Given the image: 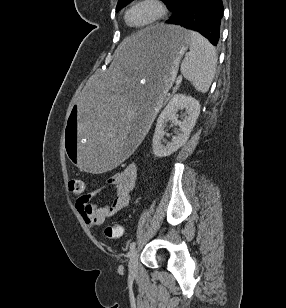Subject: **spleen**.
I'll list each match as a JSON object with an SVG mask.
<instances>
[{
    "label": "spleen",
    "mask_w": 286,
    "mask_h": 308,
    "mask_svg": "<svg viewBox=\"0 0 286 308\" xmlns=\"http://www.w3.org/2000/svg\"><path fill=\"white\" fill-rule=\"evenodd\" d=\"M190 51L181 64V72L194 88L206 93L212 83L217 64V54L212 44L201 34L188 31Z\"/></svg>",
    "instance_id": "3e777b00"
}]
</instances>
